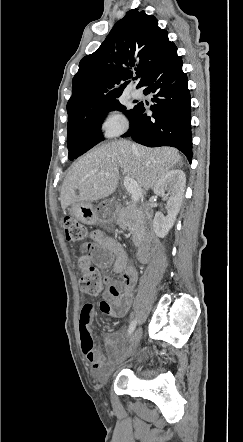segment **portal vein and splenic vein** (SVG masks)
Wrapping results in <instances>:
<instances>
[{
	"label": "portal vein and splenic vein",
	"mask_w": 243,
	"mask_h": 442,
	"mask_svg": "<svg viewBox=\"0 0 243 442\" xmlns=\"http://www.w3.org/2000/svg\"><path fill=\"white\" fill-rule=\"evenodd\" d=\"M124 186L127 189V191L131 194L132 200L136 202L140 198L141 187L134 179L128 176H126L124 179Z\"/></svg>",
	"instance_id": "obj_1"
}]
</instances>
